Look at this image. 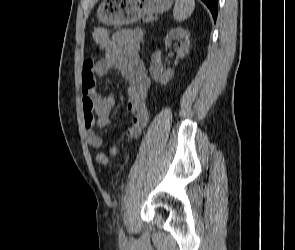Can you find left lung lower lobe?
<instances>
[{"mask_svg": "<svg viewBox=\"0 0 295 250\" xmlns=\"http://www.w3.org/2000/svg\"><path fill=\"white\" fill-rule=\"evenodd\" d=\"M201 1L204 2L206 6L210 9L214 20H216L218 0H201Z\"/></svg>", "mask_w": 295, "mask_h": 250, "instance_id": "0a47b994", "label": "left lung lower lobe"}]
</instances>
